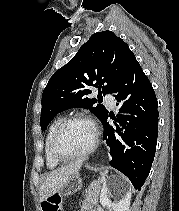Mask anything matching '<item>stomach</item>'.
<instances>
[{
    "label": "stomach",
    "instance_id": "0dacf381",
    "mask_svg": "<svg viewBox=\"0 0 179 211\" xmlns=\"http://www.w3.org/2000/svg\"><path fill=\"white\" fill-rule=\"evenodd\" d=\"M82 187V180L78 173L73 174L66 181L64 186L54 195L59 196L60 198L68 197L75 194ZM52 195V196H54Z\"/></svg>",
    "mask_w": 179,
    "mask_h": 211
}]
</instances>
